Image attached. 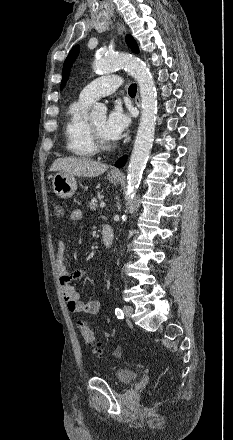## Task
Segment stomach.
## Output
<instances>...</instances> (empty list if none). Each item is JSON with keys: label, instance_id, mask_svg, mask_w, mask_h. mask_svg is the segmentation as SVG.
I'll return each instance as SVG.
<instances>
[{"label": "stomach", "instance_id": "obj_1", "mask_svg": "<svg viewBox=\"0 0 233 440\" xmlns=\"http://www.w3.org/2000/svg\"><path fill=\"white\" fill-rule=\"evenodd\" d=\"M108 180L112 183H118L121 177L108 173ZM52 187L58 197L62 199L71 198L77 190L75 176L59 172L52 179Z\"/></svg>", "mask_w": 233, "mask_h": 440}]
</instances>
